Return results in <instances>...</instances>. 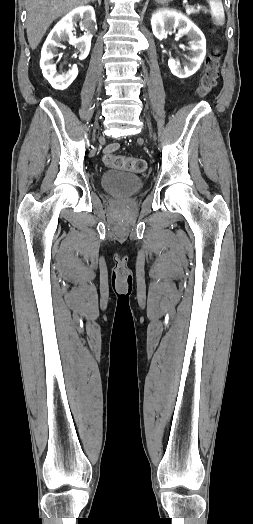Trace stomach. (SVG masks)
Masks as SVG:
<instances>
[{
    "mask_svg": "<svg viewBox=\"0 0 253 524\" xmlns=\"http://www.w3.org/2000/svg\"><path fill=\"white\" fill-rule=\"evenodd\" d=\"M157 2H160V3H168L170 2L171 0H156Z\"/></svg>",
    "mask_w": 253,
    "mask_h": 524,
    "instance_id": "0dacf381",
    "label": "stomach"
}]
</instances>
